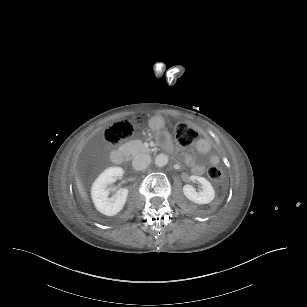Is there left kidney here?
Wrapping results in <instances>:
<instances>
[{
  "instance_id": "left-kidney-1",
  "label": "left kidney",
  "mask_w": 307,
  "mask_h": 307,
  "mask_svg": "<svg viewBox=\"0 0 307 307\" xmlns=\"http://www.w3.org/2000/svg\"><path fill=\"white\" fill-rule=\"evenodd\" d=\"M190 180H196L201 184V189L197 192L196 189L189 184L183 186V193L189 200L198 204H208L215 197V191L211 183L204 177L192 175Z\"/></svg>"
}]
</instances>
